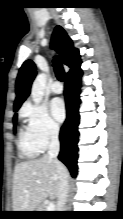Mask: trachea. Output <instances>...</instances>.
Segmentation results:
<instances>
[{
  "mask_svg": "<svg viewBox=\"0 0 123 219\" xmlns=\"http://www.w3.org/2000/svg\"><path fill=\"white\" fill-rule=\"evenodd\" d=\"M53 66L55 70V74L58 80L63 81L65 78V72L62 66V63L58 57H55L53 60Z\"/></svg>",
  "mask_w": 123,
  "mask_h": 219,
  "instance_id": "trachea-1",
  "label": "trachea"
}]
</instances>
